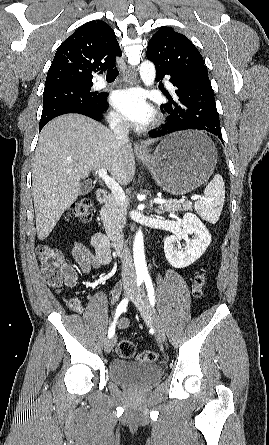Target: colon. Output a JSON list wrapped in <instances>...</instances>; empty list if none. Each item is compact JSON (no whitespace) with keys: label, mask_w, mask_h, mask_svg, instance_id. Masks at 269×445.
<instances>
[{"label":"colon","mask_w":269,"mask_h":445,"mask_svg":"<svg viewBox=\"0 0 269 445\" xmlns=\"http://www.w3.org/2000/svg\"><path fill=\"white\" fill-rule=\"evenodd\" d=\"M69 216L77 219L81 223H89L92 220L91 201L81 199L70 207ZM37 256L41 265L44 279L51 287L60 288L63 285L71 286L74 281L68 276L66 264L61 254L54 248L41 245L37 248ZM206 285V276L204 271L198 272L192 279V294L198 299L202 296ZM116 353L124 359L133 358L136 354V347L129 340H122L116 347ZM158 359L156 352L146 350L137 356V360L144 363H154Z\"/></svg>","instance_id":"obj_1"}]
</instances>
